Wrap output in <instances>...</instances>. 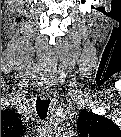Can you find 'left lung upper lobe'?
I'll return each instance as SVG.
<instances>
[{
  "mask_svg": "<svg viewBox=\"0 0 121 137\" xmlns=\"http://www.w3.org/2000/svg\"><path fill=\"white\" fill-rule=\"evenodd\" d=\"M77 131L81 136H121L120 129L110 119L85 110L80 113Z\"/></svg>",
  "mask_w": 121,
  "mask_h": 137,
  "instance_id": "1",
  "label": "left lung upper lobe"
}]
</instances>
